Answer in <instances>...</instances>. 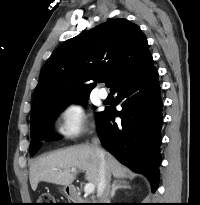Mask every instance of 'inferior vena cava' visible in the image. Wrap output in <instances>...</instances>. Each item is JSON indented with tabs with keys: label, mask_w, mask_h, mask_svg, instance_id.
<instances>
[{
	"label": "inferior vena cava",
	"mask_w": 200,
	"mask_h": 205,
	"mask_svg": "<svg viewBox=\"0 0 200 205\" xmlns=\"http://www.w3.org/2000/svg\"><path fill=\"white\" fill-rule=\"evenodd\" d=\"M92 143H93V147L95 148L96 153L98 154L100 158V169H99L100 182H99L98 189H97V196L100 200V203H110L109 193H110L111 175L106 169L105 160H104V152L98 146L99 139L93 138Z\"/></svg>",
	"instance_id": "1"
}]
</instances>
